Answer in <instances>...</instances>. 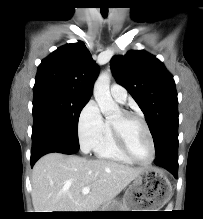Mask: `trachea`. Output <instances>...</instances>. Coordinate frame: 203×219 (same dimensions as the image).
<instances>
[{
  "label": "trachea",
  "mask_w": 203,
  "mask_h": 219,
  "mask_svg": "<svg viewBox=\"0 0 203 219\" xmlns=\"http://www.w3.org/2000/svg\"><path fill=\"white\" fill-rule=\"evenodd\" d=\"M101 13H102L103 17H106L108 12L107 11H102Z\"/></svg>",
  "instance_id": "obj_1"
}]
</instances>
